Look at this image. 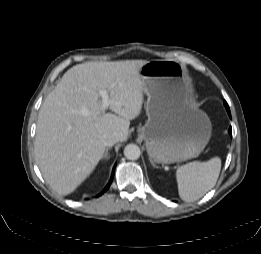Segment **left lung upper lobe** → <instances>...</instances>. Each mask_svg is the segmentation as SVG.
<instances>
[{
	"mask_svg": "<svg viewBox=\"0 0 261 254\" xmlns=\"http://www.w3.org/2000/svg\"><path fill=\"white\" fill-rule=\"evenodd\" d=\"M224 105H225V107H226L227 112H229V111H230V110H229V106H228V104H227L226 101L224 102Z\"/></svg>",
	"mask_w": 261,
	"mask_h": 254,
	"instance_id": "5c2ea615",
	"label": "left lung upper lobe"
}]
</instances>
